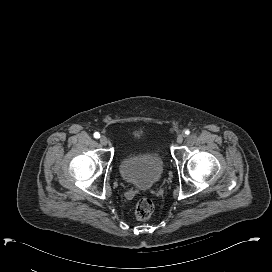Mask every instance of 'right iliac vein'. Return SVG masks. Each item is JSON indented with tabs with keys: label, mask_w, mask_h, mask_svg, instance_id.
I'll return each instance as SVG.
<instances>
[{
	"label": "right iliac vein",
	"mask_w": 272,
	"mask_h": 272,
	"mask_svg": "<svg viewBox=\"0 0 272 272\" xmlns=\"http://www.w3.org/2000/svg\"><path fill=\"white\" fill-rule=\"evenodd\" d=\"M99 142L101 145L106 146L108 144V139L106 136H101Z\"/></svg>",
	"instance_id": "obj_1"
}]
</instances>
